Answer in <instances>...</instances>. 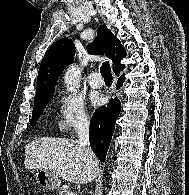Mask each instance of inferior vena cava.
Here are the masks:
<instances>
[{"label": "inferior vena cava", "mask_w": 189, "mask_h": 195, "mask_svg": "<svg viewBox=\"0 0 189 195\" xmlns=\"http://www.w3.org/2000/svg\"><path fill=\"white\" fill-rule=\"evenodd\" d=\"M76 130L80 145L91 150L89 147V121L86 117H80L77 119Z\"/></svg>", "instance_id": "inferior-vena-cava-1"}]
</instances>
